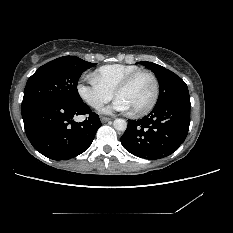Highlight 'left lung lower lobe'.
Segmentation results:
<instances>
[{
	"label": "left lung lower lobe",
	"mask_w": 233,
	"mask_h": 233,
	"mask_svg": "<svg viewBox=\"0 0 233 233\" xmlns=\"http://www.w3.org/2000/svg\"><path fill=\"white\" fill-rule=\"evenodd\" d=\"M190 97H180L159 106L144 118L128 121L121 144L144 159L166 157L184 142L190 124Z\"/></svg>",
	"instance_id": "obj_1"
}]
</instances>
